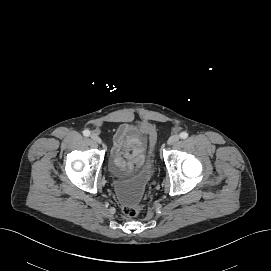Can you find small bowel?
Returning a JSON list of instances; mask_svg holds the SVG:
<instances>
[{
    "label": "small bowel",
    "mask_w": 271,
    "mask_h": 271,
    "mask_svg": "<svg viewBox=\"0 0 271 271\" xmlns=\"http://www.w3.org/2000/svg\"><path fill=\"white\" fill-rule=\"evenodd\" d=\"M148 136L153 138V129L149 126L137 127L129 123L119 126L111 148V170L114 174H129L144 164Z\"/></svg>",
    "instance_id": "small-bowel-1"
}]
</instances>
